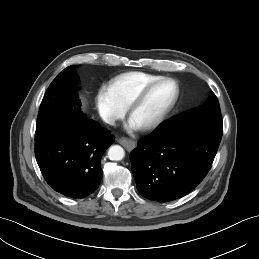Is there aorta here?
Masks as SVG:
<instances>
[{
	"mask_svg": "<svg viewBox=\"0 0 259 259\" xmlns=\"http://www.w3.org/2000/svg\"><path fill=\"white\" fill-rule=\"evenodd\" d=\"M124 149L119 145H114L109 148L108 157L110 160L120 161L124 158Z\"/></svg>",
	"mask_w": 259,
	"mask_h": 259,
	"instance_id": "762f6f07",
	"label": "aorta"
}]
</instances>
